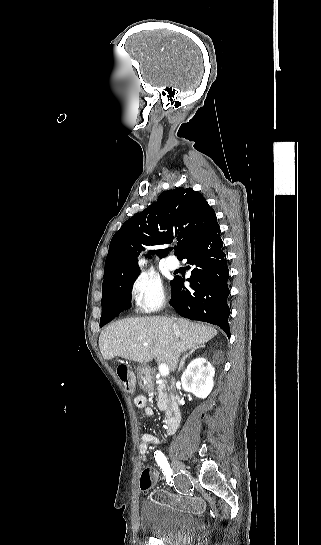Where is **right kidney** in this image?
<instances>
[{
  "mask_svg": "<svg viewBox=\"0 0 321 545\" xmlns=\"http://www.w3.org/2000/svg\"><path fill=\"white\" fill-rule=\"evenodd\" d=\"M215 369L207 359L198 357L189 363L181 377V383L186 393H193L199 399H206L210 395L214 383Z\"/></svg>",
  "mask_w": 321,
  "mask_h": 545,
  "instance_id": "obj_1",
  "label": "right kidney"
}]
</instances>
